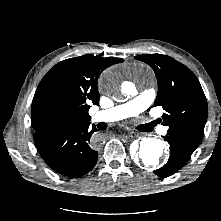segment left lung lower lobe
Masks as SVG:
<instances>
[{"label":"left lung lower lobe","instance_id":"0a47b994","mask_svg":"<svg viewBox=\"0 0 221 221\" xmlns=\"http://www.w3.org/2000/svg\"><path fill=\"white\" fill-rule=\"evenodd\" d=\"M164 140L170 145V157L166 165L154 171L162 178L171 176L181 169L200 143L188 136L173 133H167Z\"/></svg>","mask_w":221,"mask_h":221}]
</instances>
